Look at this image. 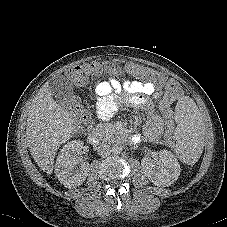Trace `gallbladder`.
<instances>
[{"label":"gallbladder","instance_id":"obj_1","mask_svg":"<svg viewBox=\"0 0 227 227\" xmlns=\"http://www.w3.org/2000/svg\"><path fill=\"white\" fill-rule=\"evenodd\" d=\"M49 91L61 103L71 104L74 102L75 95L73 92V86L62 75L53 77L49 81Z\"/></svg>","mask_w":227,"mask_h":227}]
</instances>
